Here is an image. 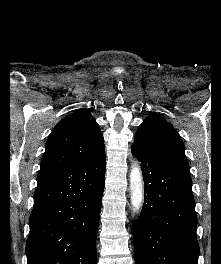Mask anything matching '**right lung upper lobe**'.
<instances>
[{
    "label": "right lung upper lobe",
    "mask_w": 221,
    "mask_h": 264,
    "mask_svg": "<svg viewBox=\"0 0 221 264\" xmlns=\"http://www.w3.org/2000/svg\"><path fill=\"white\" fill-rule=\"evenodd\" d=\"M104 154L98 124L90 112L79 109L62 119L50 134L40 172L89 163Z\"/></svg>",
    "instance_id": "right-lung-upper-lobe-1"
}]
</instances>
